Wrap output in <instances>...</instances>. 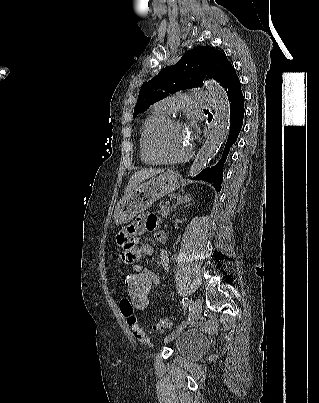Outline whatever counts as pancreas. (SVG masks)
<instances>
[{
    "mask_svg": "<svg viewBox=\"0 0 319 403\" xmlns=\"http://www.w3.org/2000/svg\"><path fill=\"white\" fill-rule=\"evenodd\" d=\"M157 213L160 214L163 218H167L169 215V206L164 204H159V209Z\"/></svg>",
    "mask_w": 319,
    "mask_h": 403,
    "instance_id": "pancreas-1",
    "label": "pancreas"
}]
</instances>
